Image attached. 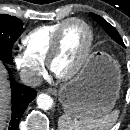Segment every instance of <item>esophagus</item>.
Listing matches in <instances>:
<instances>
[{
  "label": "esophagus",
  "instance_id": "34e87169",
  "mask_svg": "<svg viewBox=\"0 0 130 130\" xmlns=\"http://www.w3.org/2000/svg\"><path fill=\"white\" fill-rule=\"evenodd\" d=\"M46 92L50 93V94H53V95H56L57 90L55 88H48V89H46Z\"/></svg>",
  "mask_w": 130,
  "mask_h": 130
}]
</instances>
